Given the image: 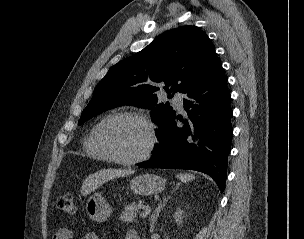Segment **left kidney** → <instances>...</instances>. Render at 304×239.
Instances as JSON below:
<instances>
[{
	"instance_id": "1",
	"label": "left kidney",
	"mask_w": 304,
	"mask_h": 239,
	"mask_svg": "<svg viewBox=\"0 0 304 239\" xmlns=\"http://www.w3.org/2000/svg\"><path fill=\"white\" fill-rule=\"evenodd\" d=\"M183 211L181 209H178L175 212L174 218H175V222L177 223V225H180L182 223V219H183Z\"/></svg>"
}]
</instances>
